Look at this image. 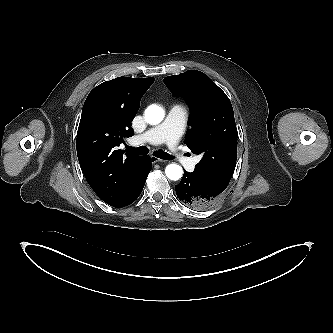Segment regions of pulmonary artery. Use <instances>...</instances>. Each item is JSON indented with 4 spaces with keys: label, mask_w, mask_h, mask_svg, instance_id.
Here are the masks:
<instances>
[{
    "label": "pulmonary artery",
    "mask_w": 333,
    "mask_h": 333,
    "mask_svg": "<svg viewBox=\"0 0 333 333\" xmlns=\"http://www.w3.org/2000/svg\"><path fill=\"white\" fill-rule=\"evenodd\" d=\"M187 117V109L180 104H175L170 108L165 120L161 124L149 129L144 134L135 137L132 143H150L154 145L165 143L180 163L188 171H193L197 161L179 154L176 148L179 139L184 133Z\"/></svg>",
    "instance_id": "pulmonary-artery-1"
}]
</instances>
